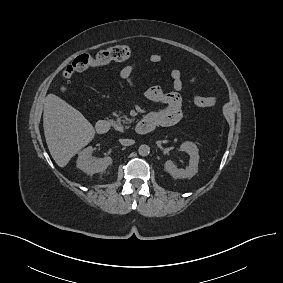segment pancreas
<instances>
[{
    "mask_svg": "<svg viewBox=\"0 0 283 283\" xmlns=\"http://www.w3.org/2000/svg\"><path fill=\"white\" fill-rule=\"evenodd\" d=\"M118 117V115H116ZM132 122V119H129L126 117V115H123L122 117H118L116 122L114 123V128L117 131L123 132L125 129H128V126H124V124H129Z\"/></svg>",
    "mask_w": 283,
    "mask_h": 283,
    "instance_id": "obj_1",
    "label": "pancreas"
}]
</instances>
